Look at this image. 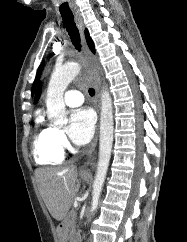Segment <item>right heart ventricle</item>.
<instances>
[{"label":"right heart ventricle","mask_w":187,"mask_h":242,"mask_svg":"<svg viewBox=\"0 0 187 242\" xmlns=\"http://www.w3.org/2000/svg\"><path fill=\"white\" fill-rule=\"evenodd\" d=\"M55 129L47 121L43 111L36 113L33 154L35 161L40 165H56L64 159L63 149L54 140Z\"/></svg>","instance_id":"right-heart-ventricle-1"}]
</instances>
